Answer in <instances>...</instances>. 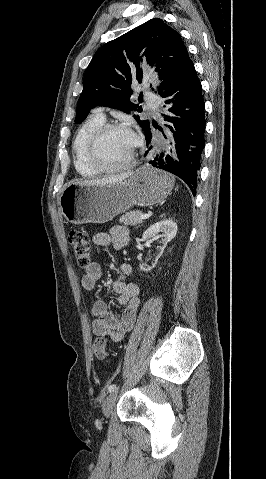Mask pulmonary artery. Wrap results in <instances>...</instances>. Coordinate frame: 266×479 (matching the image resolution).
<instances>
[{"mask_svg":"<svg viewBox=\"0 0 266 479\" xmlns=\"http://www.w3.org/2000/svg\"><path fill=\"white\" fill-rule=\"evenodd\" d=\"M144 95H145L146 97L152 98L151 93H149V92H147V91H144ZM96 113L104 117V110H103L102 108H98V109L96 110Z\"/></svg>","mask_w":266,"mask_h":479,"instance_id":"e3ab8cb5","label":"pulmonary artery"}]
</instances>
